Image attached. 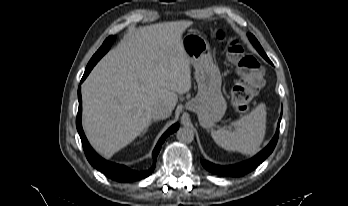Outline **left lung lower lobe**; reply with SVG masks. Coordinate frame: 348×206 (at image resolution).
Listing matches in <instances>:
<instances>
[{
  "label": "left lung lower lobe",
  "instance_id": "obj_1",
  "mask_svg": "<svg viewBox=\"0 0 348 206\" xmlns=\"http://www.w3.org/2000/svg\"><path fill=\"white\" fill-rule=\"evenodd\" d=\"M280 121H281V117L278 122V128H277L276 134L274 138L271 140V142L269 143V145L265 149H263L260 153H258L256 156H254L252 159L246 162L236 164V165H231V166H219L211 162L202 161V160H201V164L208 171L218 175H222V176L240 177L247 174L248 172L257 168L274 150L278 140Z\"/></svg>",
  "mask_w": 348,
  "mask_h": 206
}]
</instances>
